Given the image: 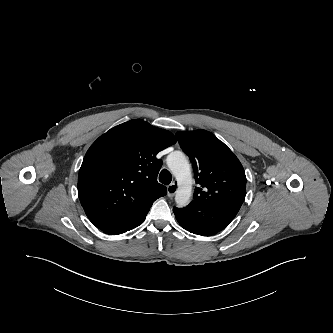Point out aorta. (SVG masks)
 <instances>
[{
    "instance_id": "1",
    "label": "aorta",
    "mask_w": 333,
    "mask_h": 333,
    "mask_svg": "<svg viewBox=\"0 0 333 333\" xmlns=\"http://www.w3.org/2000/svg\"><path fill=\"white\" fill-rule=\"evenodd\" d=\"M167 165L178 183L175 202L178 207H184L189 203L192 194L190 164L182 152L174 151L168 155Z\"/></svg>"
}]
</instances>
